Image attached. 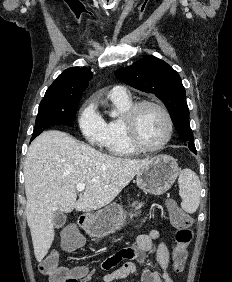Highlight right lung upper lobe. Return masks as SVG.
<instances>
[{"mask_svg": "<svg viewBox=\"0 0 232 282\" xmlns=\"http://www.w3.org/2000/svg\"><path fill=\"white\" fill-rule=\"evenodd\" d=\"M92 75V72L85 68L72 67L66 69L47 89L44 97L57 98L82 95Z\"/></svg>", "mask_w": 232, "mask_h": 282, "instance_id": "right-lung-upper-lobe-1", "label": "right lung upper lobe"}]
</instances>
